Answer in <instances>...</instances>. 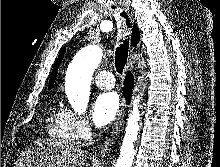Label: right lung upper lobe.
Returning a JSON list of instances; mask_svg holds the SVG:
<instances>
[{"label":"right lung upper lobe","mask_w":220,"mask_h":167,"mask_svg":"<svg viewBox=\"0 0 220 167\" xmlns=\"http://www.w3.org/2000/svg\"><path fill=\"white\" fill-rule=\"evenodd\" d=\"M139 39H140V32H139L138 28L136 26H134L133 30H132V37H131L132 46H136L139 42ZM64 52H65V48L61 51L55 65L53 67V71H52L51 78H50V83H49V89L53 86V84L55 82L57 69H58L60 63L62 62Z\"/></svg>","instance_id":"obj_1"}]
</instances>
